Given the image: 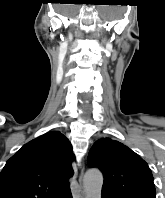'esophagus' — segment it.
<instances>
[{
  "instance_id": "34e87169",
  "label": "esophagus",
  "mask_w": 165,
  "mask_h": 198,
  "mask_svg": "<svg viewBox=\"0 0 165 198\" xmlns=\"http://www.w3.org/2000/svg\"><path fill=\"white\" fill-rule=\"evenodd\" d=\"M82 174H83V168L81 169V174H80V177H79V184L76 187V192L74 193V198H84L83 191H82V184H81Z\"/></svg>"
}]
</instances>
